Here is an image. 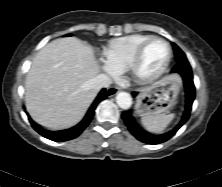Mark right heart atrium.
Here are the masks:
<instances>
[{
	"label": "right heart atrium",
	"instance_id": "obj_1",
	"mask_svg": "<svg viewBox=\"0 0 222 187\" xmlns=\"http://www.w3.org/2000/svg\"><path fill=\"white\" fill-rule=\"evenodd\" d=\"M102 68L111 77H114L117 74V70L106 61L103 62Z\"/></svg>",
	"mask_w": 222,
	"mask_h": 187
}]
</instances>
